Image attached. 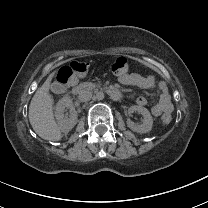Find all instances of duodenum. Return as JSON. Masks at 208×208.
<instances>
[{
  "label": "duodenum",
  "instance_id": "duodenum-1",
  "mask_svg": "<svg viewBox=\"0 0 208 208\" xmlns=\"http://www.w3.org/2000/svg\"><path fill=\"white\" fill-rule=\"evenodd\" d=\"M88 88L87 84H79L73 88L74 94H79L85 91ZM109 96L114 100H121L123 98L122 93L116 89H108L107 90Z\"/></svg>",
  "mask_w": 208,
  "mask_h": 208
}]
</instances>
